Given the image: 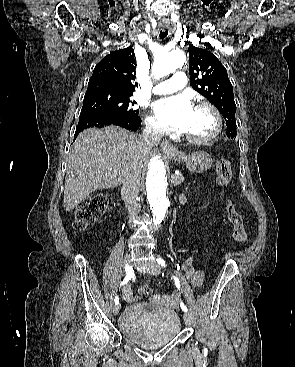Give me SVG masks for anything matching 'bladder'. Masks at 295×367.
I'll list each match as a JSON object with an SVG mask.
<instances>
[{
    "label": "bladder",
    "instance_id": "obj_1",
    "mask_svg": "<svg viewBox=\"0 0 295 367\" xmlns=\"http://www.w3.org/2000/svg\"><path fill=\"white\" fill-rule=\"evenodd\" d=\"M119 327L131 342L152 349L171 342L180 332L181 323L174 310L143 301L125 308Z\"/></svg>",
    "mask_w": 295,
    "mask_h": 367
}]
</instances>
